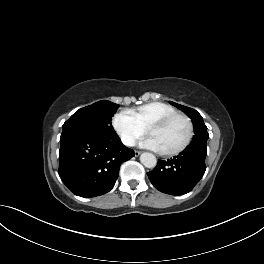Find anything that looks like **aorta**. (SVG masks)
<instances>
[{
    "mask_svg": "<svg viewBox=\"0 0 264 264\" xmlns=\"http://www.w3.org/2000/svg\"><path fill=\"white\" fill-rule=\"evenodd\" d=\"M140 162L147 168H154L157 165V159L155 155L148 152L141 154Z\"/></svg>",
    "mask_w": 264,
    "mask_h": 264,
    "instance_id": "obj_1",
    "label": "aorta"
}]
</instances>
